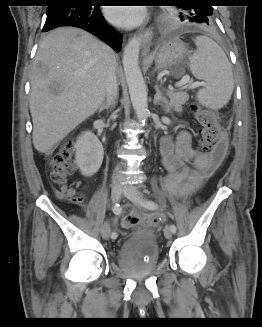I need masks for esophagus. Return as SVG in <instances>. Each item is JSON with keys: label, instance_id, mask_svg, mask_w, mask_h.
Instances as JSON below:
<instances>
[{"label": "esophagus", "instance_id": "34e87169", "mask_svg": "<svg viewBox=\"0 0 262 327\" xmlns=\"http://www.w3.org/2000/svg\"><path fill=\"white\" fill-rule=\"evenodd\" d=\"M139 36L142 41V52L144 55H148L150 52V44L153 38V30L151 27H146L139 32Z\"/></svg>", "mask_w": 262, "mask_h": 327}]
</instances>
